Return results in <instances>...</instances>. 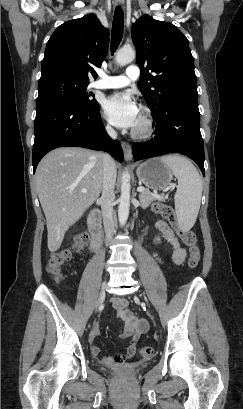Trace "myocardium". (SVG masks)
I'll return each instance as SVG.
<instances>
[{
    "mask_svg": "<svg viewBox=\"0 0 243 409\" xmlns=\"http://www.w3.org/2000/svg\"><path fill=\"white\" fill-rule=\"evenodd\" d=\"M141 123L142 126L134 128L131 134L137 139H149L155 132V123L150 110L146 106L141 107Z\"/></svg>",
    "mask_w": 243,
    "mask_h": 409,
    "instance_id": "obj_1",
    "label": "myocardium"
}]
</instances>
